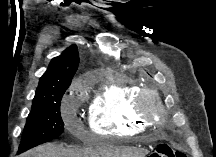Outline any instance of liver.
Returning <instances> with one entry per match:
<instances>
[{
    "mask_svg": "<svg viewBox=\"0 0 216 157\" xmlns=\"http://www.w3.org/2000/svg\"><path fill=\"white\" fill-rule=\"evenodd\" d=\"M147 153L142 149L107 144L86 149H66L49 143L26 152L23 157H144Z\"/></svg>",
    "mask_w": 216,
    "mask_h": 157,
    "instance_id": "1",
    "label": "liver"
}]
</instances>
